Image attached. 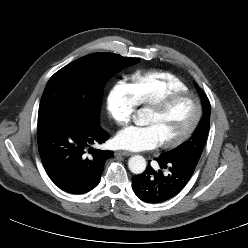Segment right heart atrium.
Returning a JSON list of instances; mask_svg holds the SVG:
<instances>
[{
  "mask_svg": "<svg viewBox=\"0 0 248 248\" xmlns=\"http://www.w3.org/2000/svg\"><path fill=\"white\" fill-rule=\"evenodd\" d=\"M106 106L111 119L117 125L125 126L131 121L136 111L137 103L128 85L118 82L109 90Z\"/></svg>",
  "mask_w": 248,
  "mask_h": 248,
  "instance_id": "d8ad5b80",
  "label": "right heart atrium"
}]
</instances>
